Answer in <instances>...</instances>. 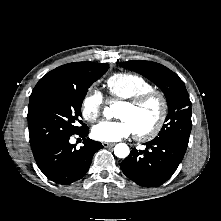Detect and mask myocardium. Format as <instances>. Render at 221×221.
I'll use <instances>...</instances> for the list:
<instances>
[{
    "mask_svg": "<svg viewBox=\"0 0 221 221\" xmlns=\"http://www.w3.org/2000/svg\"><path fill=\"white\" fill-rule=\"evenodd\" d=\"M152 100H155L159 105V115L151 128L146 131L135 132L136 138L140 141H149L156 137L161 131L168 114L167 98L161 91L152 89L121 102L122 105H126L132 109H139Z\"/></svg>",
    "mask_w": 221,
    "mask_h": 221,
    "instance_id": "obj_1",
    "label": "myocardium"
}]
</instances>
